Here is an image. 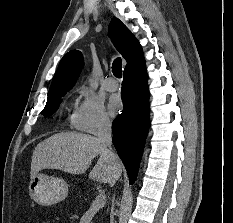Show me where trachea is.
<instances>
[{
    "label": "trachea",
    "instance_id": "trachea-1",
    "mask_svg": "<svg viewBox=\"0 0 233 223\" xmlns=\"http://www.w3.org/2000/svg\"><path fill=\"white\" fill-rule=\"evenodd\" d=\"M113 75L117 78L122 77V60L121 58H116L112 64Z\"/></svg>",
    "mask_w": 233,
    "mask_h": 223
}]
</instances>
